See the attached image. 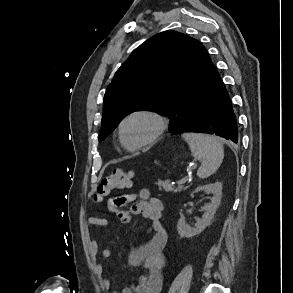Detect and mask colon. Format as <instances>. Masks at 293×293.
Wrapping results in <instances>:
<instances>
[{"label": "colon", "mask_w": 293, "mask_h": 293, "mask_svg": "<svg viewBox=\"0 0 293 293\" xmlns=\"http://www.w3.org/2000/svg\"><path fill=\"white\" fill-rule=\"evenodd\" d=\"M133 178L132 171L114 169L106 174L97 187V196L103 197L109 195L115 190L128 188L131 186Z\"/></svg>", "instance_id": "1"}]
</instances>
